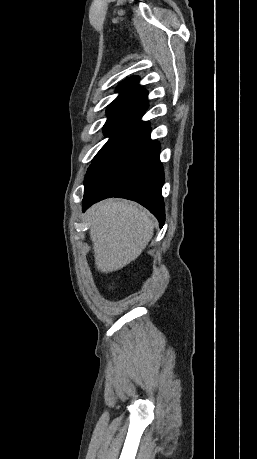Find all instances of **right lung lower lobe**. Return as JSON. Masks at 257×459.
Segmentation results:
<instances>
[{
  "instance_id": "obj_1",
  "label": "right lung lower lobe",
  "mask_w": 257,
  "mask_h": 459,
  "mask_svg": "<svg viewBox=\"0 0 257 459\" xmlns=\"http://www.w3.org/2000/svg\"><path fill=\"white\" fill-rule=\"evenodd\" d=\"M133 115L119 129L107 148L90 165L84 185L83 211L108 197L134 200L165 221L161 189L163 167L160 144L150 139V124Z\"/></svg>"
}]
</instances>
